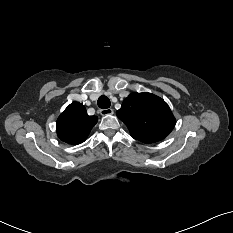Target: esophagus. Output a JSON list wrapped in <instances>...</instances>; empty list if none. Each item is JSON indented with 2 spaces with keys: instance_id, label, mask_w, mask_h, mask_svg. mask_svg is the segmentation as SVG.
<instances>
[{
  "instance_id": "esophagus-1",
  "label": "esophagus",
  "mask_w": 233,
  "mask_h": 233,
  "mask_svg": "<svg viewBox=\"0 0 233 233\" xmlns=\"http://www.w3.org/2000/svg\"><path fill=\"white\" fill-rule=\"evenodd\" d=\"M100 114L102 116H109V115H112L113 114V109L112 108H107V109H102L100 111Z\"/></svg>"
}]
</instances>
